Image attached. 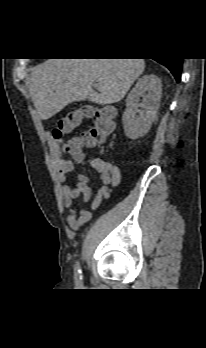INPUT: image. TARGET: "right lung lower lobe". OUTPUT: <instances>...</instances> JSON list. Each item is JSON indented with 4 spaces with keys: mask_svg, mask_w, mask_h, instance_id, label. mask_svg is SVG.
Wrapping results in <instances>:
<instances>
[{
    "mask_svg": "<svg viewBox=\"0 0 206 348\" xmlns=\"http://www.w3.org/2000/svg\"><path fill=\"white\" fill-rule=\"evenodd\" d=\"M156 61L165 65L171 71V73L175 77L176 81L179 82L180 77H181V68H182L183 59L163 58V59L156 60Z\"/></svg>",
    "mask_w": 206,
    "mask_h": 348,
    "instance_id": "right-lung-lower-lobe-1",
    "label": "right lung lower lobe"
}]
</instances>
